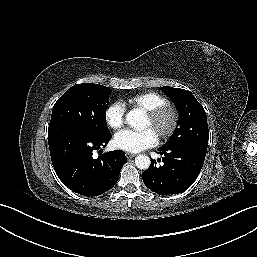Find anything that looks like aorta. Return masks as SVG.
I'll return each mask as SVG.
<instances>
[{
    "label": "aorta",
    "instance_id": "obj_1",
    "mask_svg": "<svg viewBox=\"0 0 257 257\" xmlns=\"http://www.w3.org/2000/svg\"><path fill=\"white\" fill-rule=\"evenodd\" d=\"M127 123L135 129L141 130L144 128L145 117L143 113L139 110H131L126 115ZM151 164L150 158L146 155H138L135 158V165L141 170H146Z\"/></svg>",
    "mask_w": 257,
    "mask_h": 257
}]
</instances>
